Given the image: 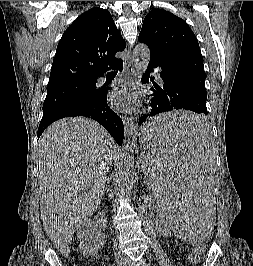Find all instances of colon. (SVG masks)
Masks as SVG:
<instances>
[{"label": "colon", "instance_id": "obj_1", "mask_svg": "<svg viewBox=\"0 0 253 266\" xmlns=\"http://www.w3.org/2000/svg\"><path fill=\"white\" fill-rule=\"evenodd\" d=\"M198 260H199V257H198L197 253L191 254L190 257H189V261L191 263H197Z\"/></svg>", "mask_w": 253, "mask_h": 266}]
</instances>
